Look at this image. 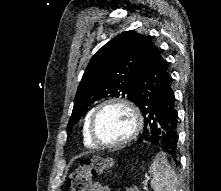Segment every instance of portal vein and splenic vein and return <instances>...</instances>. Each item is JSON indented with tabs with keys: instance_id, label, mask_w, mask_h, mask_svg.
Returning <instances> with one entry per match:
<instances>
[{
	"instance_id": "1",
	"label": "portal vein and splenic vein",
	"mask_w": 221,
	"mask_h": 191,
	"mask_svg": "<svg viewBox=\"0 0 221 191\" xmlns=\"http://www.w3.org/2000/svg\"><path fill=\"white\" fill-rule=\"evenodd\" d=\"M147 181H144L143 183H142V187L144 188V189H146L147 188Z\"/></svg>"
}]
</instances>
